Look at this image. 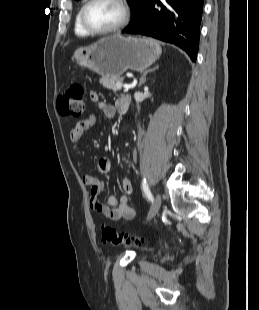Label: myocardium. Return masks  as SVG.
I'll use <instances>...</instances> for the list:
<instances>
[{"label": "myocardium", "instance_id": "f54148a6", "mask_svg": "<svg viewBox=\"0 0 259 310\" xmlns=\"http://www.w3.org/2000/svg\"><path fill=\"white\" fill-rule=\"evenodd\" d=\"M95 1L96 0H87V2L82 6L80 10L81 25L90 35L94 36L109 35L119 32L126 27V25L130 20V7L126 0H114L122 9V18L119 21V23L107 29H95L92 26H90L86 20V11L87 8Z\"/></svg>", "mask_w": 259, "mask_h": 310}]
</instances>
